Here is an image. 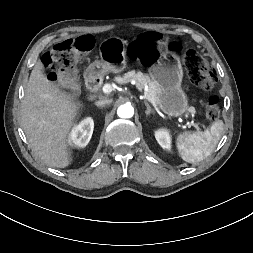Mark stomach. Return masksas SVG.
Returning a JSON list of instances; mask_svg holds the SVG:
<instances>
[{
	"label": "stomach",
	"mask_w": 253,
	"mask_h": 253,
	"mask_svg": "<svg viewBox=\"0 0 253 253\" xmlns=\"http://www.w3.org/2000/svg\"><path fill=\"white\" fill-rule=\"evenodd\" d=\"M126 41L109 37L99 45L100 60L88 67L89 77L121 73L126 68ZM150 77L160 86V107L169 116L184 114L189 106L188 97L181 88L183 70L175 59H164L149 69Z\"/></svg>",
	"instance_id": "obj_1"
}]
</instances>
